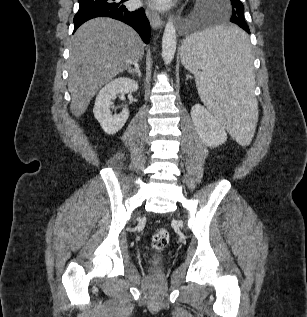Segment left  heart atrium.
<instances>
[{"label":"left heart atrium","instance_id":"obj_1","mask_svg":"<svg viewBox=\"0 0 307 317\" xmlns=\"http://www.w3.org/2000/svg\"><path fill=\"white\" fill-rule=\"evenodd\" d=\"M153 1H155L157 4L164 5L168 0H153Z\"/></svg>","mask_w":307,"mask_h":317}]
</instances>
